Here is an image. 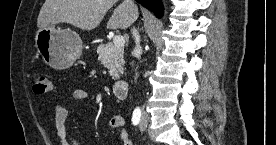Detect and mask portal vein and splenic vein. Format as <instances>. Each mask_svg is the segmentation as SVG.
I'll return each mask as SVG.
<instances>
[{
    "instance_id": "obj_1",
    "label": "portal vein and splenic vein",
    "mask_w": 276,
    "mask_h": 145,
    "mask_svg": "<svg viewBox=\"0 0 276 145\" xmlns=\"http://www.w3.org/2000/svg\"><path fill=\"white\" fill-rule=\"evenodd\" d=\"M125 43V40L122 36L116 35L113 37V45L115 47H123Z\"/></svg>"
}]
</instances>
